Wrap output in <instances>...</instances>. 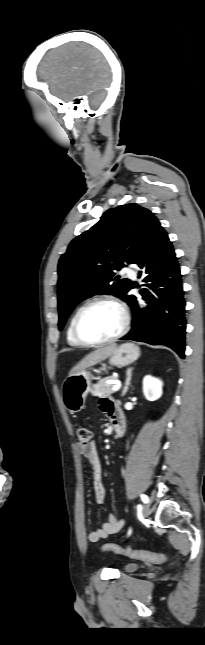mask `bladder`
I'll return each mask as SVG.
<instances>
[{
  "label": "bladder",
  "instance_id": "bladder-1",
  "mask_svg": "<svg viewBox=\"0 0 205 645\" xmlns=\"http://www.w3.org/2000/svg\"><path fill=\"white\" fill-rule=\"evenodd\" d=\"M140 568V565L136 562H126L123 564L122 569L125 572H134Z\"/></svg>",
  "mask_w": 205,
  "mask_h": 645
}]
</instances>
